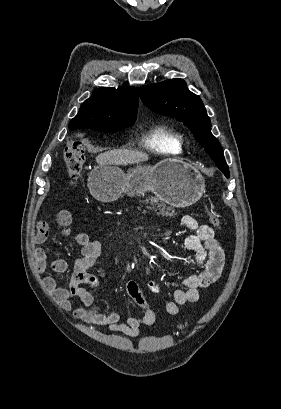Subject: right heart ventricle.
Masks as SVG:
<instances>
[{"label":"right heart ventricle","mask_w":281,"mask_h":409,"mask_svg":"<svg viewBox=\"0 0 281 409\" xmlns=\"http://www.w3.org/2000/svg\"><path fill=\"white\" fill-rule=\"evenodd\" d=\"M154 148L167 155H179L183 152L182 135L168 126H157L152 133Z\"/></svg>","instance_id":"obj_1"}]
</instances>
